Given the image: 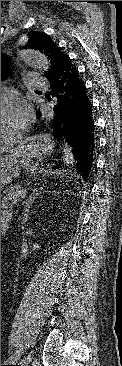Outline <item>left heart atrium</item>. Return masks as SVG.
Instances as JSON below:
<instances>
[{
	"instance_id": "1",
	"label": "left heart atrium",
	"mask_w": 122,
	"mask_h": 366,
	"mask_svg": "<svg viewBox=\"0 0 122 366\" xmlns=\"http://www.w3.org/2000/svg\"><path fill=\"white\" fill-rule=\"evenodd\" d=\"M18 110L22 117V121H25L29 116L27 104H25L24 102H20L19 106H18Z\"/></svg>"
}]
</instances>
